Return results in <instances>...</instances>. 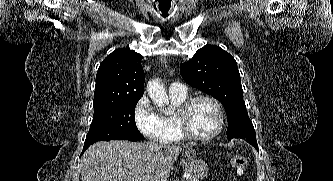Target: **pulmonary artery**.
<instances>
[{
  "label": "pulmonary artery",
  "instance_id": "1",
  "mask_svg": "<svg viewBox=\"0 0 333 181\" xmlns=\"http://www.w3.org/2000/svg\"><path fill=\"white\" fill-rule=\"evenodd\" d=\"M170 94L173 95H184L187 93V88L184 84L179 82H174L169 87Z\"/></svg>",
  "mask_w": 333,
  "mask_h": 181
}]
</instances>
